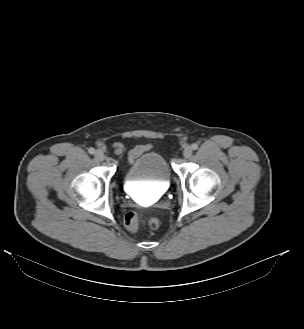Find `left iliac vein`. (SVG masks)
<instances>
[{"label":"left iliac vein","mask_w":304,"mask_h":329,"mask_svg":"<svg viewBox=\"0 0 304 329\" xmlns=\"http://www.w3.org/2000/svg\"><path fill=\"white\" fill-rule=\"evenodd\" d=\"M192 148L191 147H186L183 151V155L185 158H189L192 155Z\"/></svg>","instance_id":"obj_1"}]
</instances>
